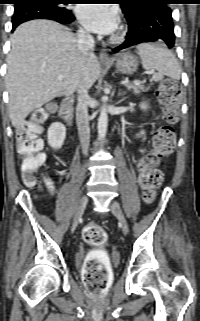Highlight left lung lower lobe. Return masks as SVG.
Returning <instances> with one entry per match:
<instances>
[{
    "label": "left lung lower lobe",
    "mask_w": 200,
    "mask_h": 321,
    "mask_svg": "<svg viewBox=\"0 0 200 321\" xmlns=\"http://www.w3.org/2000/svg\"><path fill=\"white\" fill-rule=\"evenodd\" d=\"M128 32L123 44L113 49L118 52L144 42H159L172 48L175 44L172 10L160 1L151 0L145 6L123 12Z\"/></svg>",
    "instance_id": "obj_1"
}]
</instances>
